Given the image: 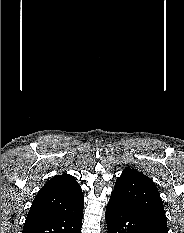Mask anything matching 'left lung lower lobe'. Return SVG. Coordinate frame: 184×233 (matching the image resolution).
<instances>
[{
  "label": "left lung lower lobe",
  "mask_w": 184,
  "mask_h": 233,
  "mask_svg": "<svg viewBox=\"0 0 184 233\" xmlns=\"http://www.w3.org/2000/svg\"><path fill=\"white\" fill-rule=\"evenodd\" d=\"M105 218L108 233H155L141 216L113 197L107 204Z\"/></svg>",
  "instance_id": "0a47b994"
}]
</instances>
